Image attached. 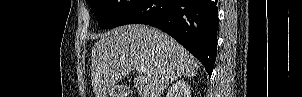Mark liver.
<instances>
[{"mask_svg":"<svg viewBox=\"0 0 302 97\" xmlns=\"http://www.w3.org/2000/svg\"><path fill=\"white\" fill-rule=\"evenodd\" d=\"M137 66L133 86L140 97H160L175 79L197 74L198 63L166 33L145 25H124L99 36L91 53V79L95 97L111 89Z\"/></svg>","mask_w":302,"mask_h":97,"instance_id":"liver-1","label":"liver"}]
</instances>
